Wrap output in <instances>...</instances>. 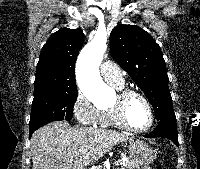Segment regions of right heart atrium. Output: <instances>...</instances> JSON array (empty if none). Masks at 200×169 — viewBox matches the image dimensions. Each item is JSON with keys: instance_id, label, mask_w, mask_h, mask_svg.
<instances>
[{"instance_id": "d8ad5b80", "label": "right heart atrium", "mask_w": 200, "mask_h": 169, "mask_svg": "<svg viewBox=\"0 0 200 169\" xmlns=\"http://www.w3.org/2000/svg\"><path fill=\"white\" fill-rule=\"evenodd\" d=\"M72 110L77 121L85 126L98 124L100 109L97 108L82 91L76 93Z\"/></svg>"}]
</instances>
